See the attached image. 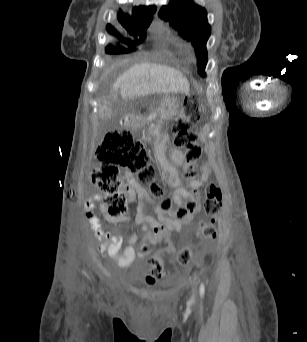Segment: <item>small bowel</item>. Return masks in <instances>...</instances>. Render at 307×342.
Wrapping results in <instances>:
<instances>
[{
  "instance_id": "small-bowel-1",
  "label": "small bowel",
  "mask_w": 307,
  "mask_h": 342,
  "mask_svg": "<svg viewBox=\"0 0 307 342\" xmlns=\"http://www.w3.org/2000/svg\"><path fill=\"white\" fill-rule=\"evenodd\" d=\"M172 164L163 160V178L165 182L175 188L172 195V201L177 207H182L188 200L192 198V193L200 189L207 181L210 175V166L205 163L201 167L199 177L184 181L178 174L176 167L184 162V154L178 149L171 151ZM126 180L128 183L127 191L130 197L137 195V213L136 222L141 226L142 233L145 229H151V225H172L174 231H180L184 225L171 217L170 211H164L157 208V218L147 212V204L150 202V197L146 190L142 188L136 181L134 175L127 173ZM101 200V196L94 194L84 204L86 218L93 231L94 237L101 241L102 244L98 247V251L106 253L113 259L116 265L120 268L129 267L135 259L136 252L134 245L137 242V235L133 233L127 240H124L120 235L106 232L101 228L99 216L94 213V207ZM194 218L191 216L190 221ZM119 222L122 220H110ZM149 253H138L140 258H145Z\"/></svg>"
}]
</instances>
